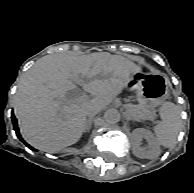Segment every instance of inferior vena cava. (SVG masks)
<instances>
[{
	"instance_id": "602c4592",
	"label": "inferior vena cava",
	"mask_w": 194,
	"mask_h": 193,
	"mask_svg": "<svg viewBox=\"0 0 194 193\" xmlns=\"http://www.w3.org/2000/svg\"><path fill=\"white\" fill-rule=\"evenodd\" d=\"M99 112H100V109H97V108L92 109V110H90V111L87 112V117H89V119H90V118H93V117H94L95 115H97Z\"/></svg>"
}]
</instances>
